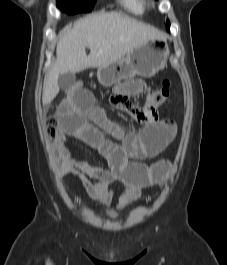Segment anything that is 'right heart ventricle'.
Instances as JSON below:
<instances>
[{
    "mask_svg": "<svg viewBox=\"0 0 227 265\" xmlns=\"http://www.w3.org/2000/svg\"><path fill=\"white\" fill-rule=\"evenodd\" d=\"M121 5L131 14L140 15L146 8V0H119Z\"/></svg>",
    "mask_w": 227,
    "mask_h": 265,
    "instance_id": "right-heart-ventricle-1",
    "label": "right heart ventricle"
}]
</instances>
